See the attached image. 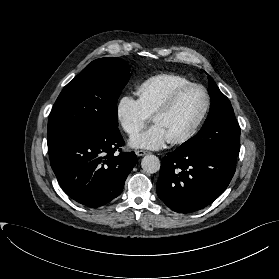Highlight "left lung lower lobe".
<instances>
[{
  "label": "left lung lower lobe",
  "mask_w": 279,
  "mask_h": 279,
  "mask_svg": "<svg viewBox=\"0 0 279 279\" xmlns=\"http://www.w3.org/2000/svg\"><path fill=\"white\" fill-rule=\"evenodd\" d=\"M236 158L217 150L169 152L161 162L157 194L175 212L198 211L226 190Z\"/></svg>",
  "instance_id": "left-lung-lower-lobe-1"
}]
</instances>
